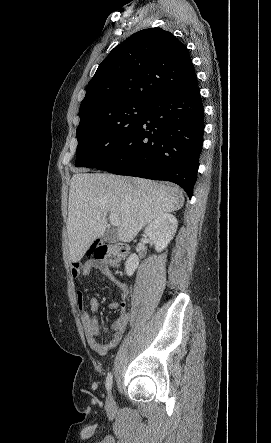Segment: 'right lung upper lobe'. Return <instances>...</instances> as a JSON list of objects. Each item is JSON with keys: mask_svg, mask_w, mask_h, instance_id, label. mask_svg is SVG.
Here are the masks:
<instances>
[{"mask_svg": "<svg viewBox=\"0 0 271 443\" xmlns=\"http://www.w3.org/2000/svg\"><path fill=\"white\" fill-rule=\"evenodd\" d=\"M196 80L188 49L172 33L161 28L139 31L100 63L81 102L80 121L125 102L150 103Z\"/></svg>", "mask_w": 271, "mask_h": 443, "instance_id": "obj_1", "label": "right lung upper lobe"}]
</instances>
